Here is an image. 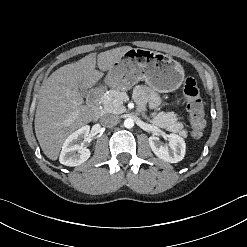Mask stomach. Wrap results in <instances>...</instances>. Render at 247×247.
I'll return each instance as SVG.
<instances>
[{
	"label": "stomach",
	"mask_w": 247,
	"mask_h": 247,
	"mask_svg": "<svg viewBox=\"0 0 247 247\" xmlns=\"http://www.w3.org/2000/svg\"><path fill=\"white\" fill-rule=\"evenodd\" d=\"M183 79V67L171 57L132 48L114 63L105 82L113 89L126 91L139 81H145L154 90L167 93L177 90Z\"/></svg>",
	"instance_id": "stomach-1"
}]
</instances>
